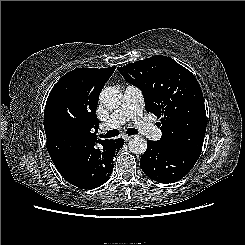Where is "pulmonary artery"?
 <instances>
[{
  "instance_id": "pulmonary-artery-1",
  "label": "pulmonary artery",
  "mask_w": 245,
  "mask_h": 245,
  "mask_svg": "<svg viewBox=\"0 0 245 245\" xmlns=\"http://www.w3.org/2000/svg\"><path fill=\"white\" fill-rule=\"evenodd\" d=\"M143 104L144 98L141 90L135 86H127L120 107L111 114L106 123L102 124V131L120 127L128 120H133L145 138L160 139V130L143 117Z\"/></svg>"
}]
</instances>
